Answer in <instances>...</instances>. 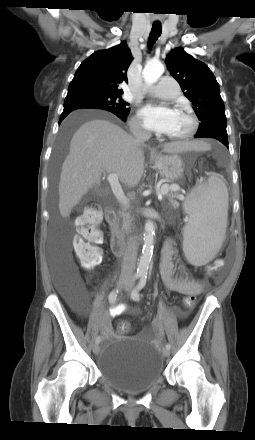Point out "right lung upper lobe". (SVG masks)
<instances>
[{
	"label": "right lung upper lobe",
	"instance_id": "right-lung-upper-lobe-1",
	"mask_svg": "<svg viewBox=\"0 0 255 440\" xmlns=\"http://www.w3.org/2000/svg\"><path fill=\"white\" fill-rule=\"evenodd\" d=\"M133 60L126 42L94 52L84 60L71 81L66 97L92 92L122 94L120 84L127 82V69Z\"/></svg>",
	"mask_w": 255,
	"mask_h": 440
}]
</instances>
